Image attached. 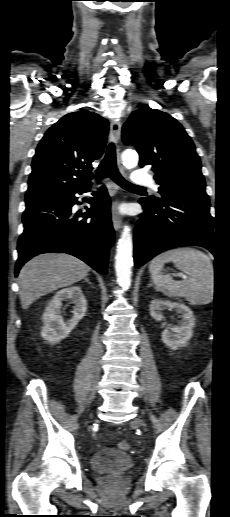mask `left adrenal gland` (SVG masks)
Wrapping results in <instances>:
<instances>
[{
    "label": "left adrenal gland",
    "mask_w": 230,
    "mask_h": 517,
    "mask_svg": "<svg viewBox=\"0 0 230 517\" xmlns=\"http://www.w3.org/2000/svg\"><path fill=\"white\" fill-rule=\"evenodd\" d=\"M152 286V283H149V285L147 286L148 288Z\"/></svg>",
    "instance_id": "1"
}]
</instances>
